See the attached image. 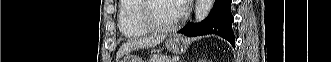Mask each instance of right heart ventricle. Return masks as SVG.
Instances as JSON below:
<instances>
[{"mask_svg":"<svg viewBox=\"0 0 331 62\" xmlns=\"http://www.w3.org/2000/svg\"><path fill=\"white\" fill-rule=\"evenodd\" d=\"M139 6L140 0L119 2L118 26L121 34L126 38H139L149 32L138 20Z\"/></svg>","mask_w":331,"mask_h":62,"instance_id":"obj_1","label":"right heart ventricle"}]
</instances>
